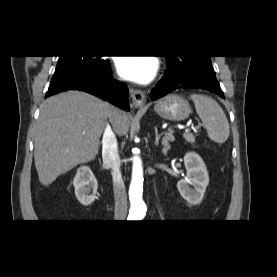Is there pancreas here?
<instances>
[{"label":"pancreas","mask_w":277,"mask_h":277,"mask_svg":"<svg viewBox=\"0 0 277 277\" xmlns=\"http://www.w3.org/2000/svg\"><path fill=\"white\" fill-rule=\"evenodd\" d=\"M184 139L188 142V143H191V144H194L195 142V136L191 133H185L183 135Z\"/></svg>","instance_id":"pancreas-1"}]
</instances>
